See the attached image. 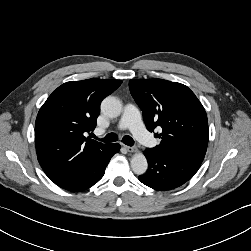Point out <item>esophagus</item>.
<instances>
[{
  "label": "esophagus",
  "instance_id": "1",
  "mask_svg": "<svg viewBox=\"0 0 251 251\" xmlns=\"http://www.w3.org/2000/svg\"><path fill=\"white\" fill-rule=\"evenodd\" d=\"M124 148L126 149V151L127 152H129V153H134V152H136V147H131V146H124Z\"/></svg>",
  "mask_w": 251,
  "mask_h": 251
}]
</instances>
